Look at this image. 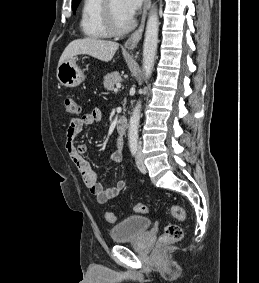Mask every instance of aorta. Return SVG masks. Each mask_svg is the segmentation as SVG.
Returning <instances> with one entry per match:
<instances>
[{"label": "aorta", "instance_id": "762f6f07", "mask_svg": "<svg viewBox=\"0 0 259 283\" xmlns=\"http://www.w3.org/2000/svg\"><path fill=\"white\" fill-rule=\"evenodd\" d=\"M159 22L156 9L149 15L143 44V71L145 78H150L157 53ZM141 103L137 102L128 125V141L130 146L138 143V128L140 122Z\"/></svg>", "mask_w": 259, "mask_h": 283}]
</instances>
